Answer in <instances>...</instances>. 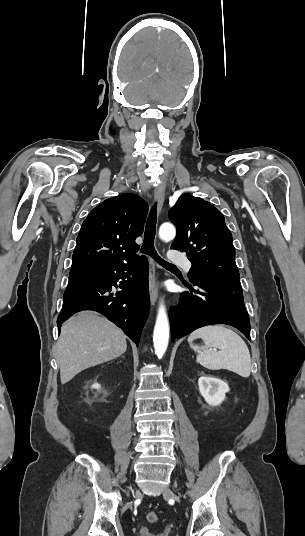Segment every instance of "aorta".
Returning a JSON list of instances; mask_svg holds the SVG:
<instances>
[{"instance_id":"aorta-1","label":"aorta","mask_w":305,"mask_h":536,"mask_svg":"<svg viewBox=\"0 0 305 536\" xmlns=\"http://www.w3.org/2000/svg\"><path fill=\"white\" fill-rule=\"evenodd\" d=\"M175 227L170 223H163L159 229V236L163 241H171L175 238ZM169 342V320L164 304H161L158 309L156 323L153 332V344L155 354L158 358H162L167 350Z\"/></svg>"}]
</instances>
